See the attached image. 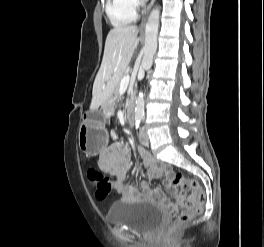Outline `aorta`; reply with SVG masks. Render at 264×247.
Here are the masks:
<instances>
[{"label": "aorta", "instance_id": "obj_1", "mask_svg": "<svg viewBox=\"0 0 264 247\" xmlns=\"http://www.w3.org/2000/svg\"><path fill=\"white\" fill-rule=\"evenodd\" d=\"M160 9L156 7L150 13L148 21L145 26V45L143 48V59L141 67L144 71L151 68L153 63V56L157 50V36L159 28ZM144 116V94L139 92L136 99L135 107V121H141Z\"/></svg>", "mask_w": 264, "mask_h": 247}]
</instances>
